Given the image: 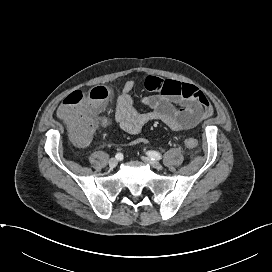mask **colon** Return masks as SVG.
<instances>
[{"mask_svg": "<svg viewBox=\"0 0 272 272\" xmlns=\"http://www.w3.org/2000/svg\"><path fill=\"white\" fill-rule=\"evenodd\" d=\"M110 96L111 90L108 88L96 87L89 92H72L63 100L59 115L68 125L75 143L84 145L89 142L95 128L96 112ZM184 144L194 149L198 146V140L189 137Z\"/></svg>", "mask_w": 272, "mask_h": 272, "instance_id": "colon-1", "label": "colon"}]
</instances>
